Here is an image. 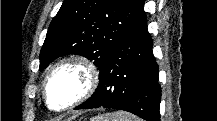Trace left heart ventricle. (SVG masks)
Wrapping results in <instances>:
<instances>
[{
  "instance_id": "left-heart-ventricle-1",
  "label": "left heart ventricle",
  "mask_w": 217,
  "mask_h": 121,
  "mask_svg": "<svg viewBox=\"0 0 217 121\" xmlns=\"http://www.w3.org/2000/svg\"><path fill=\"white\" fill-rule=\"evenodd\" d=\"M86 74L75 67L59 70L49 84L50 104L61 108L72 102L86 86Z\"/></svg>"
}]
</instances>
